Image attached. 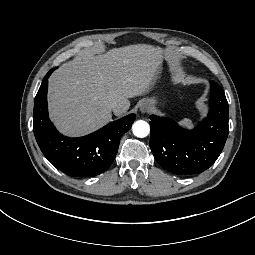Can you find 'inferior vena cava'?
<instances>
[{"mask_svg":"<svg viewBox=\"0 0 255 255\" xmlns=\"http://www.w3.org/2000/svg\"><path fill=\"white\" fill-rule=\"evenodd\" d=\"M111 110L116 113L120 112L122 110V105L119 102H112L111 104Z\"/></svg>","mask_w":255,"mask_h":255,"instance_id":"602c4592","label":"inferior vena cava"}]
</instances>
